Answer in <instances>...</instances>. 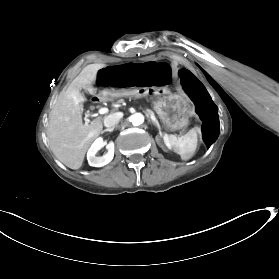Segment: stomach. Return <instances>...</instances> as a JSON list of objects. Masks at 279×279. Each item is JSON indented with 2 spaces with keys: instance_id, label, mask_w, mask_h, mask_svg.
I'll return each instance as SVG.
<instances>
[{
  "instance_id": "obj_1",
  "label": "stomach",
  "mask_w": 279,
  "mask_h": 279,
  "mask_svg": "<svg viewBox=\"0 0 279 279\" xmlns=\"http://www.w3.org/2000/svg\"><path fill=\"white\" fill-rule=\"evenodd\" d=\"M154 110L165 120L168 129H178L190 118L191 102L186 97L172 96L154 102Z\"/></svg>"
}]
</instances>
